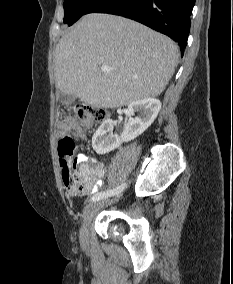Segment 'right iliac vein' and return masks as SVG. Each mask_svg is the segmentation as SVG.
I'll return each instance as SVG.
<instances>
[{
  "instance_id": "obj_1",
  "label": "right iliac vein",
  "mask_w": 233,
  "mask_h": 284,
  "mask_svg": "<svg viewBox=\"0 0 233 284\" xmlns=\"http://www.w3.org/2000/svg\"><path fill=\"white\" fill-rule=\"evenodd\" d=\"M120 195H117L114 200H117ZM113 201L110 199H100L98 201L92 202L88 204L83 212V220L82 225L80 227V242L83 246L88 244V233H89V225L93 219V217L97 214L99 210H101L106 204H109Z\"/></svg>"
}]
</instances>
